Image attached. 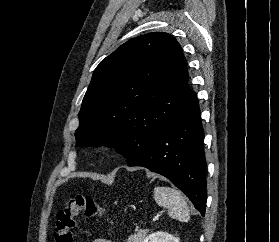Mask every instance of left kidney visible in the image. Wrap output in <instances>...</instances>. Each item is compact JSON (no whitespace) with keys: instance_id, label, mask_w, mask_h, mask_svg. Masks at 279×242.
Wrapping results in <instances>:
<instances>
[{"instance_id":"obj_1","label":"left kidney","mask_w":279,"mask_h":242,"mask_svg":"<svg viewBox=\"0 0 279 242\" xmlns=\"http://www.w3.org/2000/svg\"><path fill=\"white\" fill-rule=\"evenodd\" d=\"M143 242H180V240L169 233L157 231L148 235Z\"/></svg>"}]
</instances>
